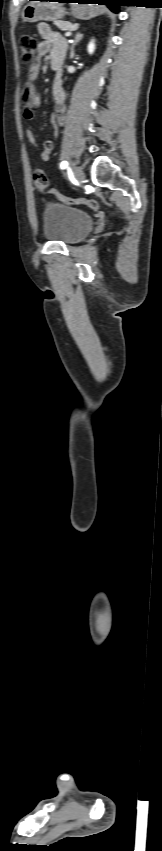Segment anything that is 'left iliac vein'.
I'll return each mask as SVG.
<instances>
[{"mask_svg": "<svg viewBox=\"0 0 162 851\" xmlns=\"http://www.w3.org/2000/svg\"><path fill=\"white\" fill-rule=\"evenodd\" d=\"M74 176L80 184H83L85 180V174L81 167L77 166L74 168Z\"/></svg>", "mask_w": 162, "mask_h": 851, "instance_id": "1", "label": "left iliac vein"}]
</instances>
